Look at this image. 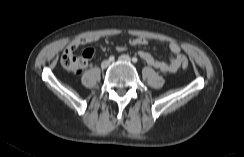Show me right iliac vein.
Listing matches in <instances>:
<instances>
[{
	"mask_svg": "<svg viewBox=\"0 0 244 157\" xmlns=\"http://www.w3.org/2000/svg\"><path fill=\"white\" fill-rule=\"evenodd\" d=\"M110 62L108 60H104L102 63H101V68L102 69H106L108 66H109Z\"/></svg>",
	"mask_w": 244,
	"mask_h": 157,
	"instance_id": "63e3f726",
	"label": "right iliac vein"
}]
</instances>
